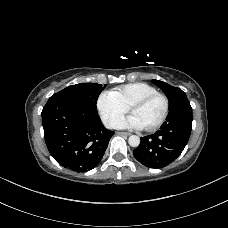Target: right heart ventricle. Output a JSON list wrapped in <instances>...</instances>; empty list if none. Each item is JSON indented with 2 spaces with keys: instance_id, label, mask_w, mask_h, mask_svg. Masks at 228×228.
Listing matches in <instances>:
<instances>
[{
  "instance_id": "obj_1",
  "label": "right heart ventricle",
  "mask_w": 228,
  "mask_h": 228,
  "mask_svg": "<svg viewBox=\"0 0 228 228\" xmlns=\"http://www.w3.org/2000/svg\"><path fill=\"white\" fill-rule=\"evenodd\" d=\"M158 92L156 87L144 82L129 83L112 91L127 108L145 95Z\"/></svg>"
}]
</instances>
